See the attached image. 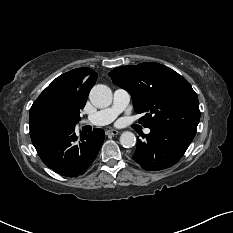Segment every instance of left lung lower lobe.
I'll use <instances>...</instances> for the list:
<instances>
[{"mask_svg":"<svg viewBox=\"0 0 233 233\" xmlns=\"http://www.w3.org/2000/svg\"><path fill=\"white\" fill-rule=\"evenodd\" d=\"M143 135L145 141L137 139L136 151L132 158L148 171H158L177 163L191 141L196 131L186 127H158L150 129Z\"/></svg>","mask_w":233,"mask_h":233,"instance_id":"0a47b994","label":"left lung lower lobe"}]
</instances>
